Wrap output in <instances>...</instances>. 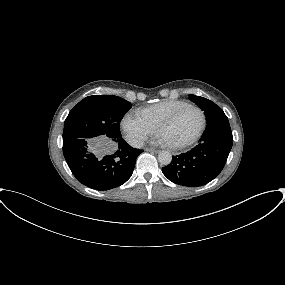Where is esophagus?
Returning <instances> with one entry per match:
<instances>
[{"label": "esophagus", "instance_id": "esophagus-1", "mask_svg": "<svg viewBox=\"0 0 285 285\" xmlns=\"http://www.w3.org/2000/svg\"><path fill=\"white\" fill-rule=\"evenodd\" d=\"M146 151L158 153V150L153 148H147Z\"/></svg>", "mask_w": 285, "mask_h": 285}]
</instances>
